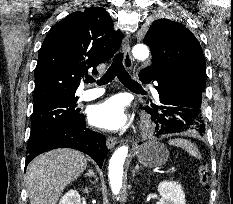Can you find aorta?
Instances as JSON below:
<instances>
[{"instance_id": "aorta-1", "label": "aorta", "mask_w": 233, "mask_h": 204, "mask_svg": "<svg viewBox=\"0 0 233 204\" xmlns=\"http://www.w3.org/2000/svg\"><path fill=\"white\" fill-rule=\"evenodd\" d=\"M137 60H145L149 57V50L144 44H137L132 50ZM128 154V146L119 147L112 155L109 162V182L114 194H118L122 187L123 165Z\"/></svg>"}]
</instances>
